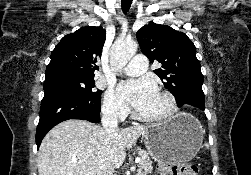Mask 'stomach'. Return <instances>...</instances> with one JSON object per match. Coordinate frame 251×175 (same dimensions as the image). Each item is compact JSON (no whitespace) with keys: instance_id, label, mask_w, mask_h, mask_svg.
I'll return each mask as SVG.
<instances>
[{"instance_id":"1","label":"stomach","mask_w":251,"mask_h":175,"mask_svg":"<svg viewBox=\"0 0 251 175\" xmlns=\"http://www.w3.org/2000/svg\"><path fill=\"white\" fill-rule=\"evenodd\" d=\"M204 129L191 113H177L161 125H149L142 139L158 163L191 161L202 147Z\"/></svg>"}]
</instances>
